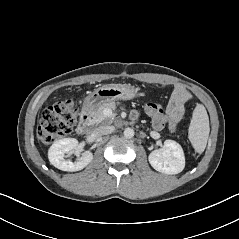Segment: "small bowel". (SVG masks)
<instances>
[{
    "instance_id": "obj_1",
    "label": "small bowel",
    "mask_w": 239,
    "mask_h": 239,
    "mask_svg": "<svg viewBox=\"0 0 239 239\" xmlns=\"http://www.w3.org/2000/svg\"><path fill=\"white\" fill-rule=\"evenodd\" d=\"M187 99L188 94L184 89L179 88L174 92L166 109L170 130L172 131L175 130L177 124L182 119L184 114V104L187 101ZM136 115H137L136 113L133 114L134 117Z\"/></svg>"
}]
</instances>
